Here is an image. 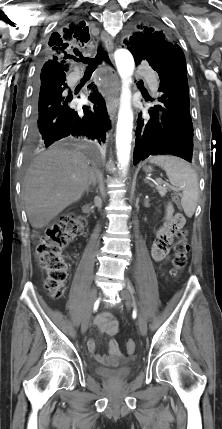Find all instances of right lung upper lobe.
<instances>
[{
  "label": "right lung upper lobe",
  "instance_id": "cb5924a9",
  "mask_svg": "<svg viewBox=\"0 0 222 429\" xmlns=\"http://www.w3.org/2000/svg\"><path fill=\"white\" fill-rule=\"evenodd\" d=\"M89 38L88 30L74 25L59 33H53L44 51V58L67 64V59L72 57L71 53L80 55L78 47L84 45Z\"/></svg>",
  "mask_w": 222,
  "mask_h": 429
}]
</instances>
